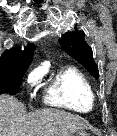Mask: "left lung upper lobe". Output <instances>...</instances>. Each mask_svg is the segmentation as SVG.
Here are the masks:
<instances>
[{
    "instance_id": "obj_1",
    "label": "left lung upper lobe",
    "mask_w": 117,
    "mask_h": 136,
    "mask_svg": "<svg viewBox=\"0 0 117 136\" xmlns=\"http://www.w3.org/2000/svg\"><path fill=\"white\" fill-rule=\"evenodd\" d=\"M84 37L83 31L75 30L63 35L59 43L68 55L79 61L94 78L98 79V67L94 62L92 49L84 41Z\"/></svg>"
}]
</instances>
